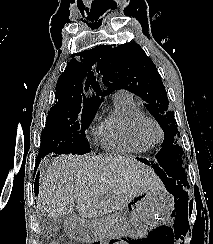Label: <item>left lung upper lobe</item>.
<instances>
[{"label": "left lung upper lobe", "mask_w": 213, "mask_h": 244, "mask_svg": "<svg viewBox=\"0 0 213 244\" xmlns=\"http://www.w3.org/2000/svg\"><path fill=\"white\" fill-rule=\"evenodd\" d=\"M98 60L96 70L102 74V81L107 87L104 94L126 89L146 102L145 107L164 131L162 149L156 156L167 158L170 176L181 189L188 185L182 160L183 149L176 144L180 133L174 112L168 111L167 92L153 61L136 43L106 46Z\"/></svg>", "instance_id": "5c2ea615"}]
</instances>
